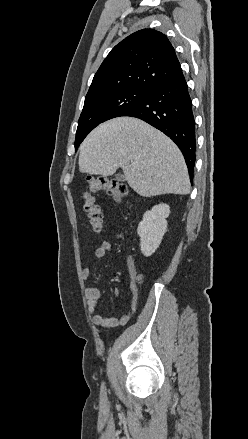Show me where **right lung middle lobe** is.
Segmentation results:
<instances>
[{"label": "right lung middle lobe", "mask_w": 248, "mask_h": 439, "mask_svg": "<svg viewBox=\"0 0 248 439\" xmlns=\"http://www.w3.org/2000/svg\"><path fill=\"white\" fill-rule=\"evenodd\" d=\"M147 93L138 89H122L86 101L78 121L75 150L96 126L120 116L137 104Z\"/></svg>", "instance_id": "obj_1"}]
</instances>
